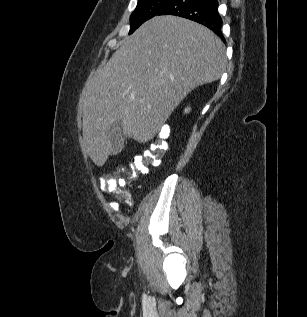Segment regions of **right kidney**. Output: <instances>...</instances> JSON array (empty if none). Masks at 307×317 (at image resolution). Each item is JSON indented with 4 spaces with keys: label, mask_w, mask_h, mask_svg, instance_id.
<instances>
[{
    "label": "right kidney",
    "mask_w": 307,
    "mask_h": 317,
    "mask_svg": "<svg viewBox=\"0 0 307 317\" xmlns=\"http://www.w3.org/2000/svg\"><path fill=\"white\" fill-rule=\"evenodd\" d=\"M190 111V108L185 109V113H188Z\"/></svg>",
    "instance_id": "ca27d5eb"
}]
</instances>
